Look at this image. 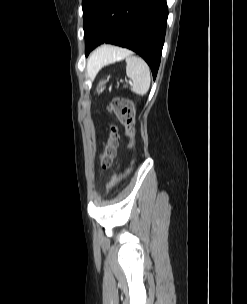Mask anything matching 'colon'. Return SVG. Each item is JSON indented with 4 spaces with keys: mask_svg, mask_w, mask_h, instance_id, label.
Instances as JSON below:
<instances>
[{
    "mask_svg": "<svg viewBox=\"0 0 247 304\" xmlns=\"http://www.w3.org/2000/svg\"><path fill=\"white\" fill-rule=\"evenodd\" d=\"M111 109L116 114L121 123H123L128 131L131 132L135 115L134 105L132 102L124 98H116L111 104ZM117 145V134L115 128L112 127L104 151L99 158L100 165L103 169L111 165L112 159L116 153Z\"/></svg>",
    "mask_w": 247,
    "mask_h": 304,
    "instance_id": "5ec220e1",
    "label": "colon"
}]
</instances>
